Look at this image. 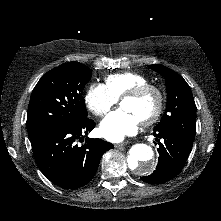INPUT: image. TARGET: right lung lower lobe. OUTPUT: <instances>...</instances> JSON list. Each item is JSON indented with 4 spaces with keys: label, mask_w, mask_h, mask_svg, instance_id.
<instances>
[{
    "label": "right lung lower lobe",
    "mask_w": 221,
    "mask_h": 221,
    "mask_svg": "<svg viewBox=\"0 0 221 221\" xmlns=\"http://www.w3.org/2000/svg\"><path fill=\"white\" fill-rule=\"evenodd\" d=\"M94 127L95 122L85 117L68 127L47 130L30 138L35 161L51 182L62 188L77 189L93 179L102 155L113 148L109 142L88 137L84 145L76 144Z\"/></svg>",
    "instance_id": "98d812e1"
}]
</instances>
